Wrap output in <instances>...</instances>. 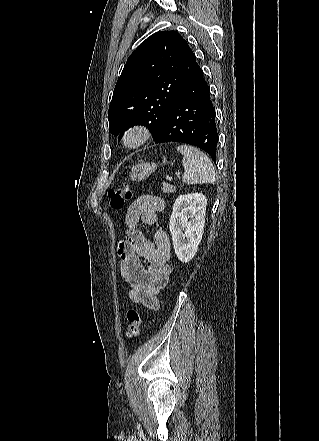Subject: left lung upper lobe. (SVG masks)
I'll use <instances>...</instances> for the list:
<instances>
[{"label":"left lung upper lobe","mask_w":319,"mask_h":441,"mask_svg":"<svg viewBox=\"0 0 319 441\" xmlns=\"http://www.w3.org/2000/svg\"><path fill=\"white\" fill-rule=\"evenodd\" d=\"M199 65L176 31L157 32L129 56L109 106V133L122 138L134 125L159 135L166 117Z\"/></svg>","instance_id":"5c2ea615"}]
</instances>
